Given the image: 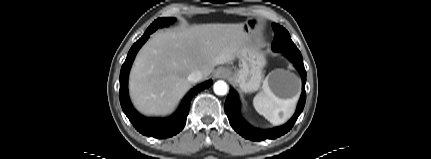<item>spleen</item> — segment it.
I'll return each mask as SVG.
<instances>
[{"label": "spleen", "instance_id": "obj_1", "mask_svg": "<svg viewBox=\"0 0 431 159\" xmlns=\"http://www.w3.org/2000/svg\"><path fill=\"white\" fill-rule=\"evenodd\" d=\"M298 95L291 99L278 98L270 90L265 80L262 91L253 99L255 110L264 116L273 125H280L286 122L294 113Z\"/></svg>", "mask_w": 431, "mask_h": 159}]
</instances>
